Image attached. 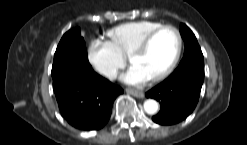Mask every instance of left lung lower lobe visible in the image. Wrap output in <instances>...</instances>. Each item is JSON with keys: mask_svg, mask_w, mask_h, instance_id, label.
Wrapping results in <instances>:
<instances>
[{"mask_svg": "<svg viewBox=\"0 0 247 145\" xmlns=\"http://www.w3.org/2000/svg\"><path fill=\"white\" fill-rule=\"evenodd\" d=\"M204 80V59L190 58L163 82L146 93L160 102V111L152 120L171 125L184 120L195 109Z\"/></svg>", "mask_w": 247, "mask_h": 145, "instance_id": "obj_1", "label": "left lung lower lobe"}]
</instances>
